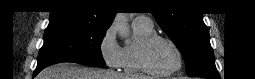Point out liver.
<instances>
[{
	"instance_id": "liver-1",
	"label": "liver",
	"mask_w": 255,
	"mask_h": 79,
	"mask_svg": "<svg viewBox=\"0 0 255 79\" xmlns=\"http://www.w3.org/2000/svg\"><path fill=\"white\" fill-rule=\"evenodd\" d=\"M37 79H148L146 76H128L112 70L82 67L74 63H59L45 68Z\"/></svg>"
}]
</instances>
